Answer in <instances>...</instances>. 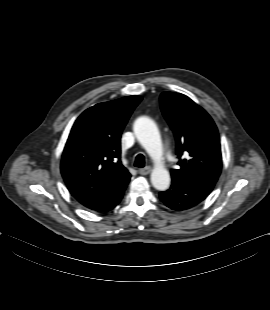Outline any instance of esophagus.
Returning a JSON list of instances; mask_svg holds the SVG:
<instances>
[{
    "label": "esophagus",
    "instance_id": "1",
    "mask_svg": "<svg viewBox=\"0 0 270 310\" xmlns=\"http://www.w3.org/2000/svg\"><path fill=\"white\" fill-rule=\"evenodd\" d=\"M151 171H152V169H151V167H145V168H141V169H139V173L141 174V175H148L149 173H151Z\"/></svg>",
    "mask_w": 270,
    "mask_h": 310
}]
</instances>
